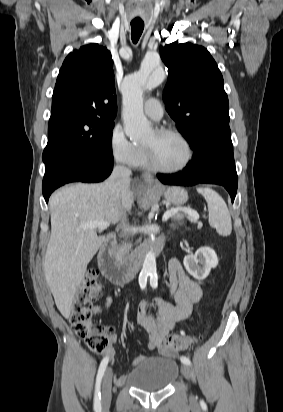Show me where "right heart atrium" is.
Here are the masks:
<instances>
[{
    "mask_svg": "<svg viewBox=\"0 0 283 412\" xmlns=\"http://www.w3.org/2000/svg\"><path fill=\"white\" fill-rule=\"evenodd\" d=\"M109 149L113 159L119 164L134 165L138 156V145L131 142L121 125H115L109 136Z\"/></svg>",
    "mask_w": 283,
    "mask_h": 412,
    "instance_id": "d8ad5b80",
    "label": "right heart atrium"
}]
</instances>
